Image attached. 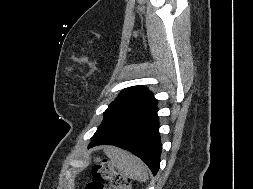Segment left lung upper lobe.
Instances as JSON below:
<instances>
[{
	"instance_id": "obj_1",
	"label": "left lung upper lobe",
	"mask_w": 253,
	"mask_h": 189,
	"mask_svg": "<svg viewBox=\"0 0 253 189\" xmlns=\"http://www.w3.org/2000/svg\"><path fill=\"white\" fill-rule=\"evenodd\" d=\"M157 100L144 86L124 89L104 112V119L93 137L107 133L134 117L156 107Z\"/></svg>"
}]
</instances>
